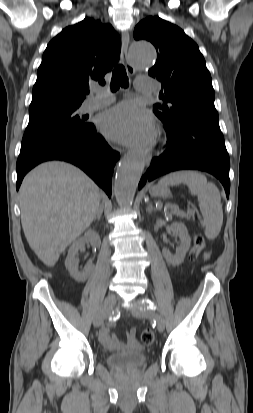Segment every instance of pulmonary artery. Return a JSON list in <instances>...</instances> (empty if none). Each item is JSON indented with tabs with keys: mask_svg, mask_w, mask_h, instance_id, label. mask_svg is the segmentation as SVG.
<instances>
[{
	"mask_svg": "<svg viewBox=\"0 0 253 413\" xmlns=\"http://www.w3.org/2000/svg\"><path fill=\"white\" fill-rule=\"evenodd\" d=\"M138 89L142 92H151L154 90V84L151 81H148L145 85L140 86ZM113 100L114 98L112 96L103 94L99 90H96L95 95L85 102L83 108L87 112L94 111L110 104Z\"/></svg>",
	"mask_w": 253,
	"mask_h": 413,
	"instance_id": "pulmonary-artery-1",
	"label": "pulmonary artery"
}]
</instances>
